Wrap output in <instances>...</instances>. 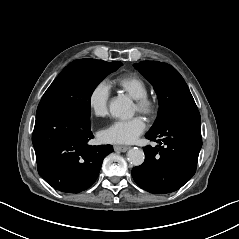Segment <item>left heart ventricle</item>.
Masks as SVG:
<instances>
[{
	"instance_id": "left-heart-ventricle-1",
	"label": "left heart ventricle",
	"mask_w": 239,
	"mask_h": 239,
	"mask_svg": "<svg viewBox=\"0 0 239 239\" xmlns=\"http://www.w3.org/2000/svg\"><path fill=\"white\" fill-rule=\"evenodd\" d=\"M137 110V106L135 105V111Z\"/></svg>"
}]
</instances>
